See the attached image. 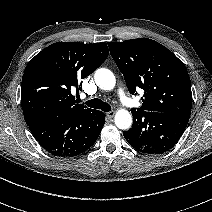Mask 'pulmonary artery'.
I'll return each mask as SVG.
<instances>
[{
	"label": "pulmonary artery",
	"instance_id": "1",
	"mask_svg": "<svg viewBox=\"0 0 212 212\" xmlns=\"http://www.w3.org/2000/svg\"><path fill=\"white\" fill-rule=\"evenodd\" d=\"M117 96H118L120 102L122 103V105L127 106V107L132 105L131 99L126 95V93L124 92V90L122 88H119L117 90Z\"/></svg>",
	"mask_w": 212,
	"mask_h": 212
}]
</instances>
